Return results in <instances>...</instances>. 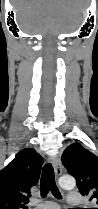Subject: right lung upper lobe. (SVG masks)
Listing matches in <instances>:
<instances>
[{
    "label": "right lung upper lobe",
    "instance_id": "right-lung-upper-lobe-1",
    "mask_svg": "<svg viewBox=\"0 0 98 209\" xmlns=\"http://www.w3.org/2000/svg\"><path fill=\"white\" fill-rule=\"evenodd\" d=\"M43 158L34 149H23L0 170V209H26L30 189L36 185Z\"/></svg>",
    "mask_w": 98,
    "mask_h": 209
}]
</instances>
